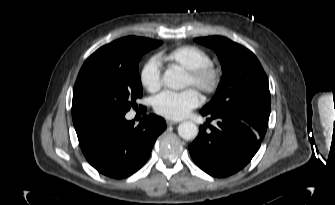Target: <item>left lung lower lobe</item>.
Returning <instances> with one entry per match:
<instances>
[{"label":"left lung lower lobe","instance_id":"obj_1","mask_svg":"<svg viewBox=\"0 0 335 205\" xmlns=\"http://www.w3.org/2000/svg\"><path fill=\"white\" fill-rule=\"evenodd\" d=\"M201 114L208 118L189 146L194 162L215 177H226L241 170L260 148L268 121L246 113ZM213 120L216 124L210 125Z\"/></svg>","mask_w":335,"mask_h":205}]
</instances>
